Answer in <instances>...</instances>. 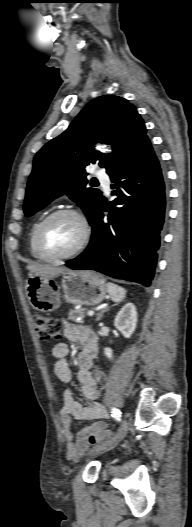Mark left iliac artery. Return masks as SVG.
Listing matches in <instances>:
<instances>
[{"label":"left iliac artery","mask_w":192,"mask_h":527,"mask_svg":"<svg viewBox=\"0 0 192 527\" xmlns=\"http://www.w3.org/2000/svg\"><path fill=\"white\" fill-rule=\"evenodd\" d=\"M112 417H114L117 421L121 420V412L117 408H112Z\"/></svg>","instance_id":"44dca946"}]
</instances>
